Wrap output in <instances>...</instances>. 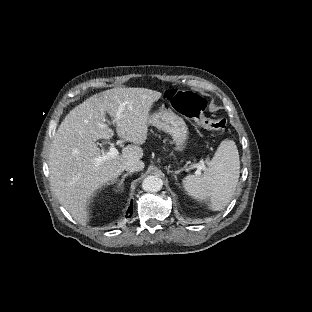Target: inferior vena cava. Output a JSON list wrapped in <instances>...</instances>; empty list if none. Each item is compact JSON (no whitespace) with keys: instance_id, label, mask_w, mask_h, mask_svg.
I'll list each match as a JSON object with an SVG mask.
<instances>
[{"instance_id":"1","label":"inferior vena cava","mask_w":312,"mask_h":312,"mask_svg":"<svg viewBox=\"0 0 312 312\" xmlns=\"http://www.w3.org/2000/svg\"><path fill=\"white\" fill-rule=\"evenodd\" d=\"M144 169V163L141 160L130 161L126 165V170L129 173L142 171Z\"/></svg>"}]
</instances>
